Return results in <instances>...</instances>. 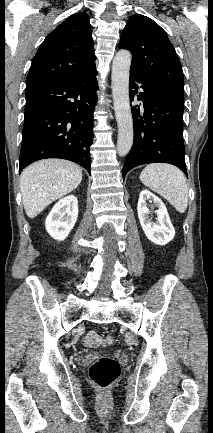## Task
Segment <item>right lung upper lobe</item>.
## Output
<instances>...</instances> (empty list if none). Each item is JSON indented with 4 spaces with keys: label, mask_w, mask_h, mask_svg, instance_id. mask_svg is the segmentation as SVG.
Wrapping results in <instances>:
<instances>
[{
    "label": "right lung upper lobe",
    "mask_w": 213,
    "mask_h": 433,
    "mask_svg": "<svg viewBox=\"0 0 213 433\" xmlns=\"http://www.w3.org/2000/svg\"><path fill=\"white\" fill-rule=\"evenodd\" d=\"M94 41L86 13H76L43 41L33 58L26 83H59L95 67Z\"/></svg>",
    "instance_id": "1"
}]
</instances>
